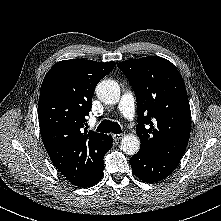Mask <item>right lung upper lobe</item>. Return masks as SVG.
<instances>
[{
  "instance_id": "cb5924a9",
  "label": "right lung upper lobe",
  "mask_w": 221,
  "mask_h": 221,
  "mask_svg": "<svg viewBox=\"0 0 221 221\" xmlns=\"http://www.w3.org/2000/svg\"><path fill=\"white\" fill-rule=\"evenodd\" d=\"M115 62L71 59L57 62L40 89L38 118L45 149L55 167L74 185L87 181L106 154L109 136L83 124L97 83Z\"/></svg>"
}]
</instances>
